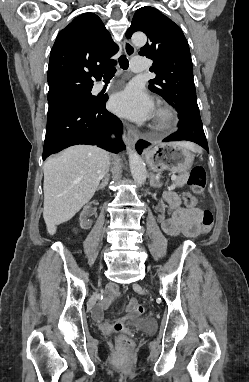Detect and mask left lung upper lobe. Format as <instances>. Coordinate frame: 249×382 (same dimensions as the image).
Wrapping results in <instances>:
<instances>
[{
  "mask_svg": "<svg viewBox=\"0 0 249 382\" xmlns=\"http://www.w3.org/2000/svg\"><path fill=\"white\" fill-rule=\"evenodd\" d=\"M136 31L148 36L139 54L153 60L150 71L156 73L148 88L176 108L179 117H200L189 45L182 30L156 8L145 6L136 11L126 37Z\"/></svg>",
  "mask_w": 249,
  "mask_h": 382,
  "instance_id": "obj_1",
  "label": "left lung upper lobe"
}]
</instances>
